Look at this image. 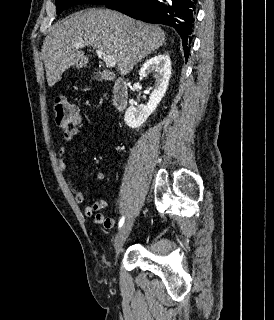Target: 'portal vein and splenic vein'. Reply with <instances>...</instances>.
<instances>
[{
  "instance_id": "obj_1",
  "label": "portal vein and splenic vein",
  "mask_w": 274,
  "mask_h": 320,
  "mask_svg": "<svg viewBox=\"0 0 274 320\" xmlns=\"http://www.w3.org/2000/svg\"><path fill=\"white\" fill-rule=\"evenodd\" d=\"M80 46H88V44H77L76 48H80ZM96 50V54L98 58H101L103 62H105L107 68H115L116 60L113 56H109V54H105L102 50H98V48H94Z\"/></svg>"
}]
</instances>
